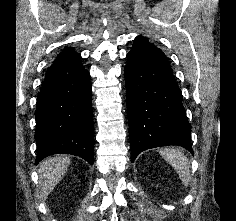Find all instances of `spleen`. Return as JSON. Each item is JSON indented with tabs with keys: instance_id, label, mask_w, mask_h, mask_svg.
I'll use <instances>...</instances> for the list:
<instances>
[{
	"instance_id": "obj_1",
	"label": "spleen",
	"mask_w": 236,
	"mask_h": 221,
	"mask_svg": "<svg viewBox=\"0 0 236 221\" xmlns=\"http://www.w3.org/2000/svg\"><path fill=\"white\" fill-rule=\"evenodd\" d=\"M160 154L172 165L182 183L188 186L191 179L188 158L180 150L175 148H164L160 150Z\"/></svg>"
}]
</instances>
